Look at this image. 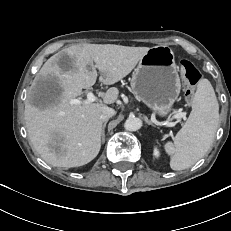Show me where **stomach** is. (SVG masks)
<instances>
[{
    "mask_svg": "<svg viewBox=\"0 0 231 231\" xmlns=\"http://www.w3.org/2000/svg\"><path fill=\"white\" fill-rule=\"evenodd\" d=\"M131 88L133 94L157 115L164 117L172 111L181 82L173 51L168 46H155L135 68Z\"/></svg>",
    "mask_w": 231,
    "mask_h": 231,
    "instance_id": "1",
    "label": "stomach"
}]
</instances>
